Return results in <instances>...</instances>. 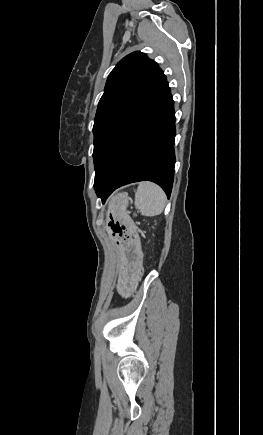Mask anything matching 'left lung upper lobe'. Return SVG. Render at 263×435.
Listing matches in <instances>:
<instances>
[{
    "label": "left lung upper lobe",
    "mask_w": 263,
    "mask_h": 435,
    "mask_svg": "<svg viewBox=\"0 0 263 435\" xmlns=\"http://www.w3.org/2000/svg\"><path fill=\"white\" fill-rule=\"evenodd\" d=\"M168 85L158 64L146 54L125 56L108 76L94 121V165L99 170L125 128Z\"/></svg>",
    "instance_id": "1"
}]
</instances>
